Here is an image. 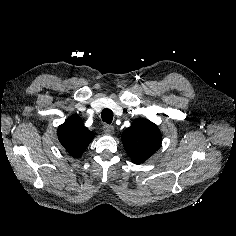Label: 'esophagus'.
<instances>
[{"label":"esophagus","instance_id":"obj_1","mask_svg":"<svg viewBox=\"0 0 236 236\" xmlns=\"http://www.w3.org/2000/svg\"><path fill=\"white\" fill-rule=\"evenodd\" d=\"M103 130L107 134H112L114 132V127L112 125L105 124Z\"/></svg>","mask_w":236,"mask_h":236}]
</instances>
